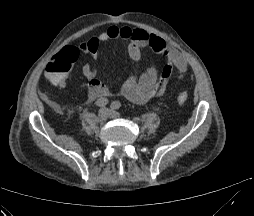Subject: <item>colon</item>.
<instances>
[{
	"label": "colon",
	"mask_w": 254,
	"mask_h": 216,
	"mask_svg": "<svg viewBox=\"0 0 254 216\" xmlns=\"http://www.w3.org/2000/svg\"><path fill=\"white\" fill-rule=\"evenodd\" d=\"M77 55L71 58H66L64 56H58L53 59L51 63L47 65L46 72L50 79H58L62 75L69 72L72 62L76 59ZM189 98V94L185 89H178L176 91V100L183 104Z\"/></svg>",
	"instance_id": "obj_1"
}]
</instances>
